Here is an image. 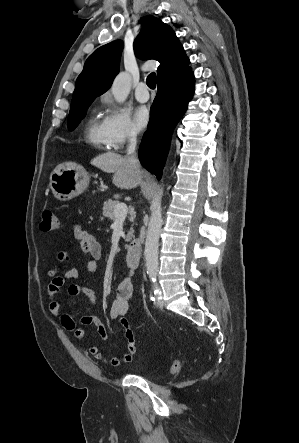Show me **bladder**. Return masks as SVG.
<instances>
[{"instance_id": "obj_1", "label": "bladder", "mask_w": 299, "mask_h": 443, "mask_svg": "<svg viewBox=\"0 0 299 443\" xmlns=\"http://www.w3.org/2000/svg\"><path fill=\"white\" fill-rule=\"evenodd\" d=\"M137 373L148 381H157L159 379V376L156 373L145 369H140Z\"/></svg>"}]
</instances>
